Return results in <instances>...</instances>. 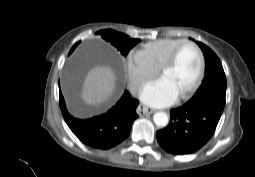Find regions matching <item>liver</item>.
<instances>
[{"instance_id": "1", "label": "liver", "mask_w": 255, "mask_h": 177, "mask_svg": "<svg viewBox=\"0 0 255 177\" xmlns=\"http://www.w3.org/2000/svg\"><path fill=\"white\" fill-rule=\"evenodd\" d=\"M116 75L109 66H95L85 76L80 97L88 106L98 107L113 95Z\"/></svg>"}]
</instances>
